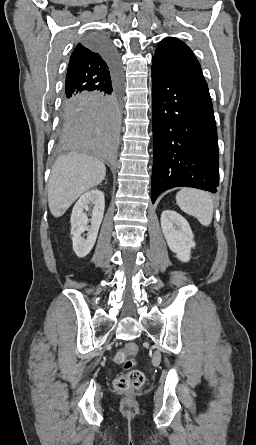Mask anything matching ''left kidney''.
Wrapping results in <instances>:
<instances>
[{"label":"left kidney","instance_id":"obj_1","mask_svg":"<svg viewBox=\"0 0 256 445\" xmlns=\"http://www.w3.org/2000/svg\"><path fill=\"white\" fill-rule=\"evenodd\" d=\"M161 228L170 250L180 261L188 262L195 242L187 220L175 211L165 210L161 214Z\"/></svg>","mask_w":256,"mask_h":445}]
</instances>
